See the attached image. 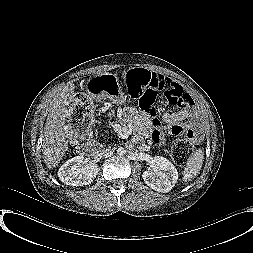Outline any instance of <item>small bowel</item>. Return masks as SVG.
Here are the masks:
<instances>
[{
  "mask_svg": "<svg viewBox=\"0 0 253 253\" xmlns=\"http://www.w3.org/2000/svg\"><path fill=\"white\" fill-rule=\"evenodd\" d=\"M161 76V75H160ZM164 77V76H162ZM177 87L180 93H185L182 87L171 79L164 77ZM125 121L130 122L134 125L136 131L143 135L149 136L156 145H162L166 139L162 133V123L165 124L172 134L180 135L185 129H189L190 125L195 123L197 120V112L194 108L185 107L178 111H167L162 114L161 120L154 119L141 111L130 108L124 111ZM183 121H188L189 124L182 125Z\"/></svg>",
  "mask_w": 253,
  "mask_h": 253,
  "instance_id": "small-bowel-1",
  "label": "small bowel"
}]
</instances>
